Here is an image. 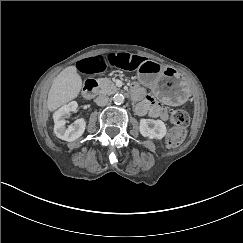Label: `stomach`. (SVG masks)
<instances>
[{
  "mask_svg": "<svg viewBox=\"0 0 243 243\" xmlns=\"http://www.w3.org/2000/svg\"><path fill=\"white\" fill-rule=\"evenodd\" d=\"M137 75L139 82L149 87L167 105H182L189 97L184 79L173 67L149 60L140 66Z\"/></svg>",
  "mask_w": 243,
  "mask_h": 243,
  "instance_id": "stomach-1",
  "label": "stomach"
}]
</instances>
